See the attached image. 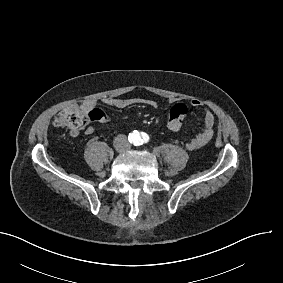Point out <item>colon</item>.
Masks as SVG:
<instances>
[{
	"mask_svg": "<svg viewBox=\"0 0 283 283\" xmlns=\"http://www.w3.org/2000/svg\"><path fill=\"white\" fill-rule=\"evenodd\" d=\"M79 107L76 104L69 106L54 116V125L65 129L69 135L74 136L83 131L89 125L85 119V114L78 112ZM188 107L182 103H174L172 105L167 126L171 130H178L181 126V121L188 116Z\"/></svg>",
	"mask_w": 283,
	"mask_h": 283,
	"instance_id": "1",
	"label": "colon"
}]
</instances>
